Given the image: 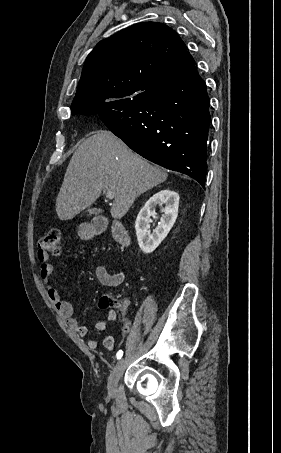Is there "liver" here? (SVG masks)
<instances>
[{
	"label": "liver",
	"instance_id": "liver-1",
	"mask_svg": "<svg viewBox=\"0 0 281 453\" xmlns=\"http://www.w3.org/2000/svg\"><path fill=\"white\" fill-rule=\"evenodd\" d=\"M158 164H150L133 152L110 130H95L75 150L56 198L60 220L91 206L102 190L114 192L110 212L122 218L135 198L166 180Z\"/></svg>",
	"mask_w": 281,
	"mask_h": 453
}]
</instances>
